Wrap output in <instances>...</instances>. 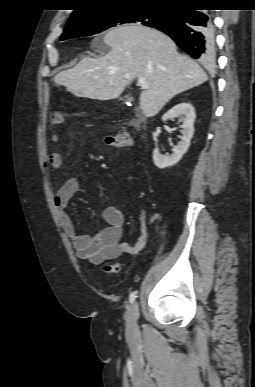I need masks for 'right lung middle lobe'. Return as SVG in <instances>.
<instances>
[{
    "instance_id": "1",
    "label": "right lung middle lobe",
    "mask_w": 255,
    "mask_h": 387,
    "mask_svg": "<svg viewBox=\"0 0 255 387\" xmlns=\"http://www.w3.org/2000/svg\"><path fill=\"white\" fill-rule=\"evenodd\" d=\"M170 7L121 6L101 11L79 20L68 22L60 40L98 34L106 29L124 23H142L149 27L165 24Z\"/></svg>"
}]
</instances>
